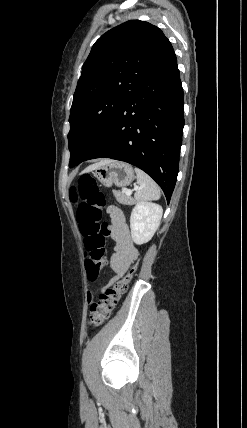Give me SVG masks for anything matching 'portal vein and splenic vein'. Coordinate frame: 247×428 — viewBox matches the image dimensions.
Instances as JSON below:
<instances>
[{
	"label": "portal vein and splenic vein",
	"instance_id": "18ae733b",
	"mask_svg": "<svg viewBox=\"0 0 247 428\" xmlns=\"http://www.w3.org/2000/svg\"><path fill=\"white\" fill-rule=\"evenodd\" d=\"M139 189V187H134V190H138ZM124 193L126 194V195H128V196H130L131 194H132V190H130V189H126L125 191H124Z\"/></svg>",
	"mask_w": 247,
	"mask_h": 428
}]
</instances>
